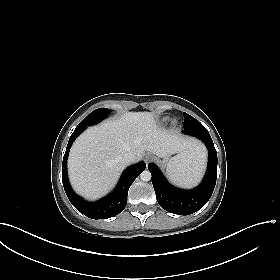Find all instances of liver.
I'll return each mask as SVG.
<instances>
[{
	"label": "liver",
	"mask_w": 280,
	"mask_h": 280,
	"mask_svg": "<svg viewBox=\"0 0 280 280\" xmlns=\"http://www.w3.org/2000/svg\"><path fill=\"white\" fill-rule=\"evenodd\" d=\"M145 151L165 158L175 153L193 156L204 148L194 139L160 128L150 112H128L89 127L77 138L68 159L70 182L82 196L97 199L114 186L124 170L123 155L132 153L139 161Z\"/></svg>",
	"instance_id": "liver-1"
}]
</instances>
